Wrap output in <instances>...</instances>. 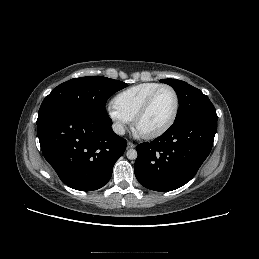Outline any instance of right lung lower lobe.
<instances>
[{
    "label": "right lung lower lobe",
    "mask_w": 259,
    "mask_h": 259,
    "mask_svg": "<svg viewBox=\"0 0 259 259\" xmlns=\"http://www.w3.org/2000/svg\"><path fill=\"white\" fill-rule=\"evenodd\" d=\"M36 123L42 153L67 186L93 191L110 180L126 140L112 131L108 116L69 107L50 111Z\"/></svg>",
    "instance_id": "98d812e1"
}]
</instances>
